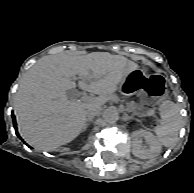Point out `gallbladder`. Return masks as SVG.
<instances>
[{"label": "gallbladder", "instance_id": "bac80fb5", "mask_svg": "<svg viewBox=\"0 0 194 193\" xmlns=\"http://www.w3.org/2000/svg\"><path fill=\"white\" fill-rule=\"evenodd\" d=\"M72 92H73V90H69L67 93H68V95H71Z\"/></svg>", "mask_w": 194, "mask_h": 193}]
</instances>
